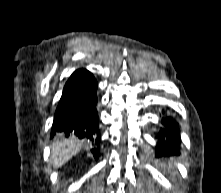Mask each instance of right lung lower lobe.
Wrapping results in <instances>:
<instances>
[{
  "label": "right lung lower lobe",
  "instance_id": "obj_1",
  "mask_svg": "<svg viewBox=\"0 0 221 193\" xmlns=\"http://www.w3.org/2000/svg\"><path fill=\"white\" fill-rule=\"evenodd\" d=\"M97 86L93 75L85 69H79L71 75L55 112L51 138L65 136L99 145ZM92 153L97 157L99 147H94Z\"/></svg>",
  "mask_w": 221,
  "mask_h": 193
}]
</instances>
